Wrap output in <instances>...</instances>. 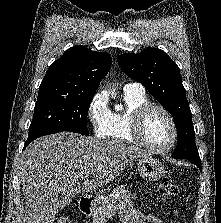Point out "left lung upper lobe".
I'll return each mask as SVG.
<instances>
[{
    "label": "left lung upper lobe",
    "mask_w": 221,
    "mask_h": 223,
    "mask_svg": "<svg viewBox=\"0 0 221 223\" xmlns=\"http://www.w3.org/2000/svg\"><path fill=\"white\" fill-rule=\"evenodd\" d=\"M117 61L130 78L143 84L173 116L177 128V146L172 157L200 160L191 110L177 64L157 48H148L138 54L124 53L118 56Z\"/></svg>",
    "instance_id": "5c2ea615"
}]
</instances>
